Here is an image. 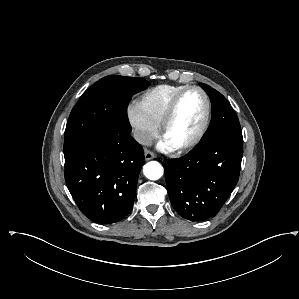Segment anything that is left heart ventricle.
Listing matches in <instances>:
<instances>
[{
    "label": "left heart ventricle",
    "mask_w": 299,
    "mask_h": 299,
    "mask_svg": "<svg viewBox=\"0 0 299 299\" xmlns=\"http://www.w3.org/2000/svg\"><path fill=\"white\" fill-rule=\"evenodd\" d=\"M204 110L205 104L202 95L197 91L187 92L181 98L176 114L163 139L173 146L188 141L199 128Z\"/></svg>",
    "instance_id": "1"
}]
</instances>
